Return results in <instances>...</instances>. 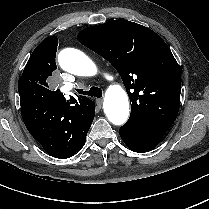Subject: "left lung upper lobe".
Instances as JSON below:
<instances>
[{
  "instance_id": "obj_1",
  "label": "left lung upper lobe",
  "mask_w": 209,
  "mask_h": 209,
  "mask_svg": "<svg viewBox=\"0 0 209 209\" xmlns=\"http://www.w3.org/2000/svg\"><path fill=\"white\" fill-rule=\"evenodd\" d=\"M77 38L120 74L132 102L127 123L163 137L177 118L181 93L180 69L166 43L123 19L85 28Z\"/></svg>"
}]
</instances>
